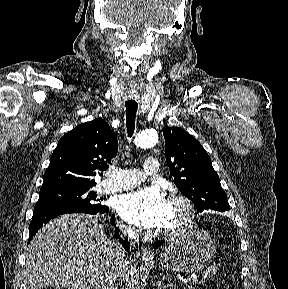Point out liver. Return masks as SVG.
Listing matches in <instances>:
<instances>
[{"mask_svg":"<svg viewBox=\"0 0 288 289\" xmlns=\"http://www.w3.org/2000/svg\"><path fill=\"white\" fill-rule=\"evenodd\" d=\"M112 241L101 224L87 214L61 215L42 227L30 241L25 277L28 289H90L110 258ZM128 261L125 260L124 280Z\"/></svg>","mask_w":288,"mask_h":289,"instance_id":"liver-1","label":"liver"}]
</instances>
